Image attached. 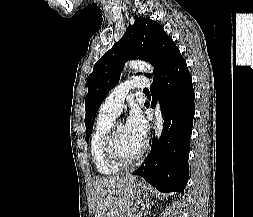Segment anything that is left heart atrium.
Segmentation results:
<instances>
[{
	"mask_svg": "<svg viewBox=\"0 0 253 217\" xmlns=\"http://www.w3.org/2000/svg\"><path fill=\"white\" fill-rule=\"evenodd\" d=\"M126 126L136 138L142 142L144 141L148 125L144 115L138 107H134L131 110Z\"/></svg>",
	"mask_w": 253,
	"mask_h": 217,
	"instance_id": "obj_1",
	"label": "left heart atrium"
}]
</instances>
